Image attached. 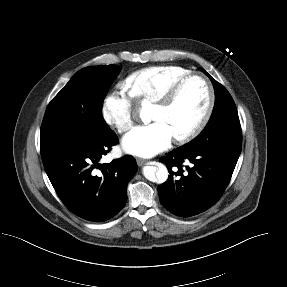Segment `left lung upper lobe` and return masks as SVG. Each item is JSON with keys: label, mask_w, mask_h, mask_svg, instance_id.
Listing matches in <instances>:
<instances>
[{"label": "left lung upper lobe", "mask_w": 287, "mask_h": 287, "mask_svg": "<svg viewBox=\"0 0 287 287\" xmlns=\"http://www.w3.org/2000/svg\"><path fill=\"white\" fill-rule=\"evenodd\" d=\"M205 74L207 72L203 70ZM215 89V105L205 129L184 145L186 148L220 150L239 156L242 147V132L236 105L229 92L210 76Z\"/></svg>", "instance_id": "obj_1"}]
</instances>
